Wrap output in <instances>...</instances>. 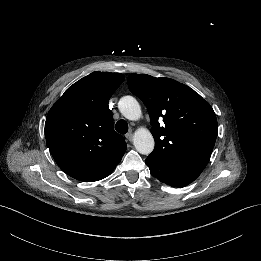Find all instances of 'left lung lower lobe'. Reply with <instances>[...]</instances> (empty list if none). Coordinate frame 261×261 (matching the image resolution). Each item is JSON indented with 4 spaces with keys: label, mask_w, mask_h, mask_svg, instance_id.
Masks as SVG:
<instances>
[{
    "label": "left lung lower lobe",
    "mask_w": 261,
    "mask_h": 261,
    "mask_svg": "<svg viewBox=\"0 0 261 261\" xmlns=\"http://www.w3.org/2000/svg\"><path fill=\"white\" fill-rule=\"evenodd\" d=\"M146 164L152 176L172 187L182 188L198 178L201 172L170 167L154 158L148 157Z\"/></svg>",
    "instance_id": "1"
}]
</instances>
